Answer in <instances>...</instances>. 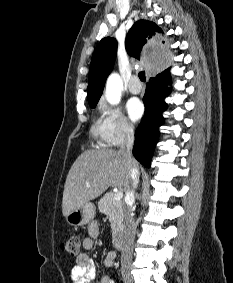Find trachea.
<instances>
[{
  "label": "trachea",
  "instance_id": "obj_1",
  "mask_svg": "<svg viewBox=\"0 0 233 283\" xmlns=\"http://www.w3.org/2000/svg\"><path fill=\"white\" fill-rule=\"evenodd\" d=\"M139 78L142 82H145L146 81V77H145V72L142 71L139 73Z\"/></svg>",
  "mask_w": 233,
  "mask_h": 283
}]
</instances>
